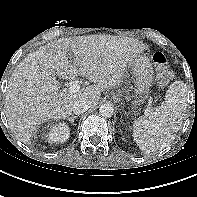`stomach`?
I'll return each mask as SVG.
<instances>
[{
  "instance_id": "0dacf381",
  "label": "stomach",
  "mask_w": 197,
  "mask_h": 197,
  "mask_svg": "<svg viewBox=\"0 0 197 197\" xmlns=\"http://www.w3.org/2000/svg\"><path fill=\"white\" fill-rule=\"evenodd\" d=\"M129 67L135 78V102L143 103L149 95L154 79L152 64L147 56L140 54Z\"/></svg>"
}]
</instances>
